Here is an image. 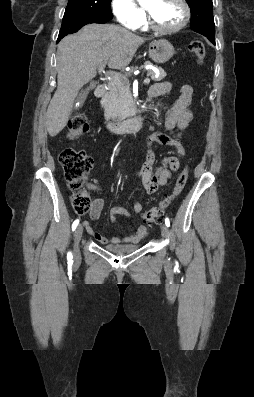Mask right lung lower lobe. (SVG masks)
Here are the masks:
<instances>
[{"label":"right lung lower lobe","instance_id":"98d812e1","mask_svg":"<svg viewBox=\"0 0 254 397\" xmlns=\"http://www.w3.org/2000/svg\"><path fill=\"white\" fill-rule=\"evenodd\" d=\"M112 17L107 18H92L82 15H64L57 43L66 35L77 32L81 27L89 23L104 24L111 20Z\"/></svg>","mask_w":254,"mask_h":397}]
</instances>
